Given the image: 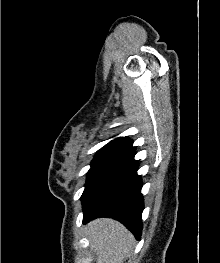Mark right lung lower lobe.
Wrapping results in <instances>:
<instances>
[{"label":"right lung lower lobe","instance_id":"right-lung-lower-lobe-1","mask_svg":"<svg viewBox=\"0 0 220 263\" xmlns=\"http://www.w3.org/2000/svg\"><path fill=\"white\" fill-rule=\"evenodd\" d=\"M134 155V147L116 154L91 182L81 197L84 224L95 218L110 217L140 239L144 206Z\"/></svg>","mask_w":220,"mask_h":263}]
</instances>
